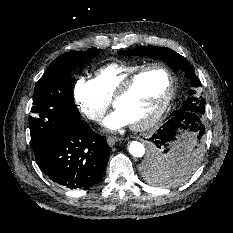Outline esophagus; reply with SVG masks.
Segmentation results:
<instances>
[{
    "label": "esophagus",
    "instance_id": "34e87169",
    "mask_svg": "<svg viewBox=\"0 0 233 233\" xmlns=\"http://www.w3.org/2000/svg\"><path fill=\"white\" fill-rule=\"evenodd\" d=\"M117 141H119V138L114 136H109L107 138V143L109 144V146H113Z\"/></svg>",
    "mask_w": 233,
    "mask_h": 233
}]
</instances>
